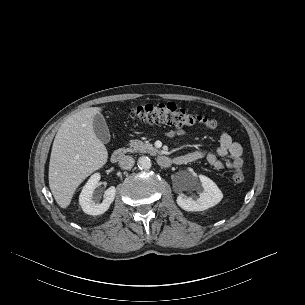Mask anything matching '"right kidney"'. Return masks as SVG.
Returning a JSON list of instances; mask_svg holds the SVG:
<instances>
[{"mask_svg": "<svg viewBox=\"0 0 305 305\" xmlns=\"http://www.w3.org/2000/svg\"><path fill=\"white\" fill-rule=\"evenodd\" d=\"M99 180L100 174L95 173L92 175L83 187L79 196V204L86 214L94 216L103 214L109 209L110 204L114 201L116 189L114 186H111L105 191L102 203L94 202L93 193L98 185Z\"/></svg>", "mask_w": 305, "mask_h": 305, "instance_id": "right-kidney-1", "label": "right kidney"}]
</instances>
